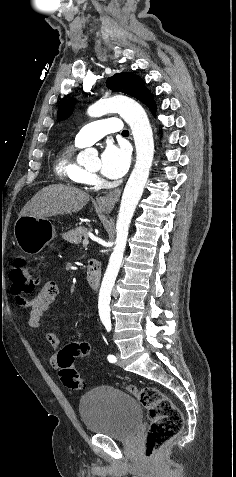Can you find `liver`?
Instances as JSON below:
<instances>
[{
    "label": "liver",
    "mask_w": 236,
    "mask_h": 477,
    "mask_svg": "<svg viewBox=\"0 0 236 477\" xmlns=\"http://www.w3.org/2000/svg\"><path fill=\"white\" fill-rule=\"evenodd\" d=\"M89 202V195L72 186L49 185L37 192L22 208L19 217L47 218L58 214H71L81 210Z\"/></svg>",
    "instance_id": "6515ba94"
}]
</instances>
